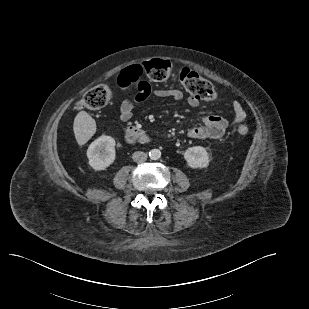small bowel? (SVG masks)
I'll list each match as a JSON object with an SVG mask.
<instances>
[{
	"mask_svg": "<svg viewBox=\"0 0 309 309\" xmlns=\"http://www.w3.org/2000/svg\"><path fill=\"white\" fill-rule=\"evenodd\" d=\"M124 70L117 78V84L121 88H128L131 83L123 77ZM158 98H171L174 101H181L184 97L179 89L175 88H158L152 89L150 84L146 81L138 82L136 84V94L132 97H126L120 104V119L122 121H129L133 116L134 108L137 104L144 102L150 96ZM186 103L191 108H196L199 105V100L193 96L186 98ZM234 116L229 122L227 119L218 115H208L203 118V124L189 130L188 135L192 139H219L224 134L230 124L239 125L243 123L246 113L242 105L238 101L232 103ZM130 129V128H129ZM128 129V130H129ZM127 130L126 141L130 144L135 143L136 138Z\"/></svg>",
	"mask_w": 309,
	"mask_h": 309,
	"instance_id": "1",
	"label": "small bowel"
}]
</instances>
